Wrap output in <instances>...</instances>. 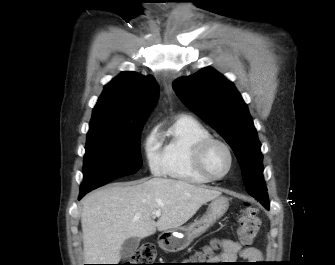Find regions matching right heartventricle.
Masks as SVG:
<instances>
[{
	"instance_id": "right-heart-ventricle-1",
	"label": "right heart ventricle",
	"mask_w": 335,
	"mask_h": 265,
	"mask_svg": "<svg viewBox=\"0 0 335 265\" xmlns=\"http://www.w3.org/2000/svg\"><path fill=\"white\" fill-rule=\"evenodd\" d=\"M210 136L209 130L198 120L190 116L177 118L161 139L164 174L185 183H208L195 168L193 155L197 144Z\"/></svg>"
}]
</instances>
